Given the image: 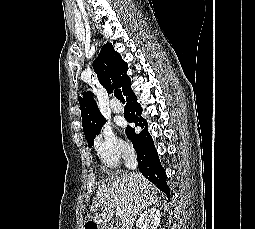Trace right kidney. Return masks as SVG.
<instances>
[{"mask_svg": "<svg viewBox=\"0 0 255 229\" xmlns=\"http://www.w3.org/2000/svg\"><path fill=\"white\" fill-rule=\"evenodd\" d=\"M160 210L150 208L144 211L137 220L136 226L139 229H158L160 224Z\"/></svg>", "mask_w": 255, "mask_h": 229, "instance_id": "right-kidney-1", "label": "right kidney"}]
</instances>
